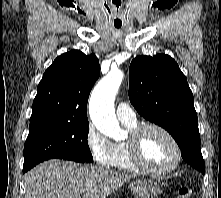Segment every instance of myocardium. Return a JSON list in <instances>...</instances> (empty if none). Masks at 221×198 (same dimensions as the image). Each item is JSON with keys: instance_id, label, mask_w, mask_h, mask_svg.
Instances as JSON below:
<instances>
[{"instance_id": "1", "label": "myocardium", "mask_w": 221, "mask_h": 198, "mask_svg": "<svg viewBox=\"0 0 221 198\" xmlns=\"http://www.w3.org/2000/svg\"><path fill=\"white\" fill-rule=\"evenodd\" d=\"M157 130L164 134L172 143L174 150H175V161L174 163L164 169H155L147 165L142 157V151H141V144H142V138L143 135L148 131V130ZM129 151H130V156L135 164V166L142 172L154 175V176H163L172 173L175 171L181 161H182V151L181 147L179 145V142L175 138V136L165 127L162 125L156 124V123H146L137 126L134 130L131 131L130 137L127 141Z\"/></svg>"}]
</instances>
